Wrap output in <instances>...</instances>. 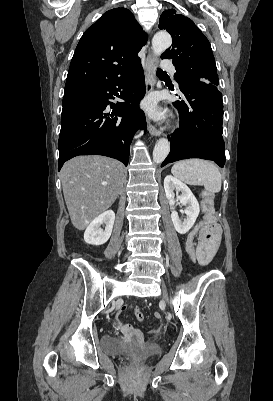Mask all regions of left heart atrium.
I'll return each mask as SVG.
<instances>
[{"label": "left heart atrium", "mask_w": 273, "mask_h": 401, "mask_svg": "<svg viewBox=\"0 0 273 401\" xmlns=\"http://www.w3.org/2000/svg\"><path fill=\"white\" fill-rule=\"evenodd\" d=\"M142 107H143L148 113H150V114H152V115H155V116H156V115L159 114V111H158V109H157L156 101H155V100L146 101L145 103H143Z\"/></svg>", "instance_id": "obj_1"}]
</instances>
